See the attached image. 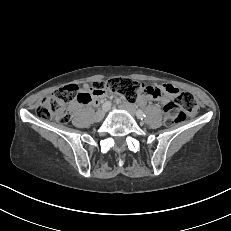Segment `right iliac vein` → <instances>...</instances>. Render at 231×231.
I'll list each match as a JSON object with an SVG mask.
<instances>
[{
	"label": "right iliac vein",
	"instance_id": "63e3f726",
	"mask_svg": "<svg viewBox=\"0 0 231 231\" xmlns=\"http://www.w3.org/2000/svg\"><path fill=\"white\" fill-rule=\"evenodd\" d=\"M105 110H99L98 112H96L94 119L96 122H99L103 119L104 115H105Z\"/></svg>",
	"mask_w": 231,
	"mask_h": 231
}]
</instances>
